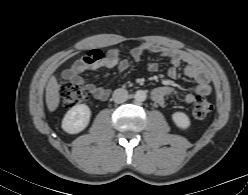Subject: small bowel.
<instances>
[{
	"mask_svg": "<svg viewBox=\"0 0 248 195\" xmlns=\"http://www.w3.org/2000/svg\"><path fill=\"white\" fill-rule=\"evenodd\" d=\"M147 53H156L170 60V66L167 74L170 78H175L181 64H184V75L196 83L195 93L198 96H207L211 92L210 75L208 70L193 56L188 53L167 48L155 43H143L131 51V57L134 60H140ZM130 62L127 58H122L120 53L115 50H109L102 53L100 50H91L83 58L76 61L73 65L63 71V77L77 84H84L82 74L85 72L96 71L102 68H116L119 72L128 70ZM148 70L155 72L158 70L156 62L148 64ZM88 91L94 98L105 100L110 91L108 88L96 85L94 83L86 84ZM177 90L171 86H158L153 89V99L163 104L168 96L175 94ZM195 96L192 93H185L183 101L185 104H192Z\"/></svg>",
	"mask_w": 248,
	"mask_h": 195,
	"instance_id": "small-bowel-1",
	"label": "small bowel"
}]
</instances>
